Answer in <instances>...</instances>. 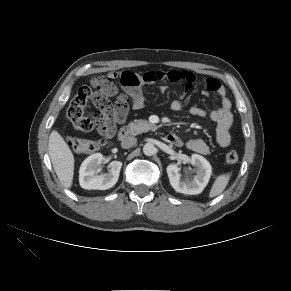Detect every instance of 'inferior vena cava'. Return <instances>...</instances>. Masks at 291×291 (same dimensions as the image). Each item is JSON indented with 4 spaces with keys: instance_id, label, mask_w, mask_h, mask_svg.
Returning <instances> with one entry per match:
<instances>
[{
    "instance_id": "obj_1",
    "label": "inferior vena cava",
    "mask_w": 291,
    "mask_h": 291,
    "mask_svg": "<svg viewBox=\"0 0 291 291\" xmlns=\"http://www.w3.org/2000/svg\"><path fill=\"white\" fill-rule=\"evenodd\" d=\"M136 142H137V139L135 137L128 136L122 140L121 147L127 149L134 146Z\"/></svg>"
}]
</instances>
